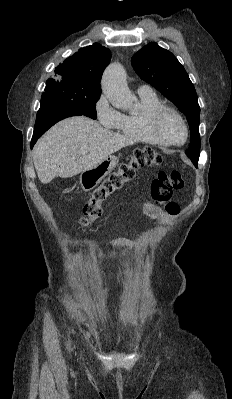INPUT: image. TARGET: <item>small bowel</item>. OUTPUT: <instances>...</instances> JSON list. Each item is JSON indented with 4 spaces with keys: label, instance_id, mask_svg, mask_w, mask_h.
I'll return each instance as SVG.
<instances>
[{
    "label": "small bowel",
    "instance_id": "1",
    "mask_svg": "<svg viewBox=\"0 0 232 399\" xmlns=\"http://www.w3.org/2000/svg\"><path fill=\"white\" fill-rule=\"evenodd\" d=\"M146 212L150 215H158L159 214V208L151 203H148L145 207ZM111 247L117 248V249H133V244L130 241L127 240H122V241H117L114 242Z\"/></svg>",
    "mask_w": 232,
    "mask_h": 399
}]
</instances>
